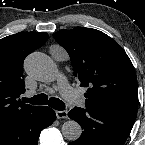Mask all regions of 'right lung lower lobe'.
<instances>
[{
    "mask_svg": "<svg viewBox=\"0 0 145 145\" xmlns=\"http://www.w3.org/2000/svg\"><path fill=\"white\" fill-rule=\"evenodd\" d=\"M55 120L51 108L37 107L0 126V145H37L40 132Z\"/></svg>",
    "mask_w": 145,
    "mask_h": 145,
    "instance_id": "1",
    "label": "right lung lower lobe"
}]
</instances>
